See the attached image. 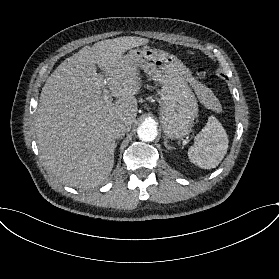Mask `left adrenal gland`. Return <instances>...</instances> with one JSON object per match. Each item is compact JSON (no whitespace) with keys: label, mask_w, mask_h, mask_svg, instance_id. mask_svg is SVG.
Returning a JSON list of instances; mask_svg holds the SVG:
<instances>
[{"label":"left adrenal gland","mask_w":279,"mask_h":279,"mask_svg":"<svg viewBox=\"0 0 279 279\" xmlns=\"http://www.w3.org/2000/svg\"><path fill=\"white\" fill-rule=\"evenodd\" d=\"M164 146H165L168 150H170V149H176L175 147H172V146H170V145L168 144V140H165V141H164Z\"/></svg>","instance_id":"left-adrenal-gland-1"}]
</instances>
